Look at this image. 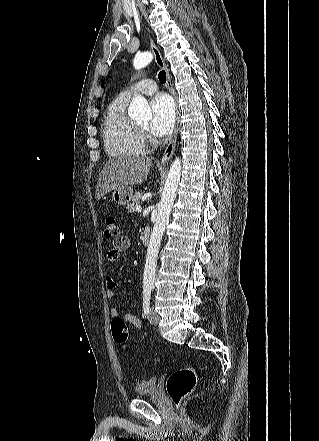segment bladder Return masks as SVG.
I'll use <instances>...</instances> for the list:
<instances>
[{
    "instance_id": "1",
    "label": "bladder",
    "mask_w": 319,
    "mask_h": 441,
    "mask_svg": "<svg viewBox=\"0 0 319 441\" xmlns=\"http://www.w3.org/2000/svg\"><path fill=\"white\" fill-rule=\"evenodd\" d=\"M136 397H154L158 394L157 378L153 377L137 383L134 387Z\"/></svg>"
}]
</instances>
